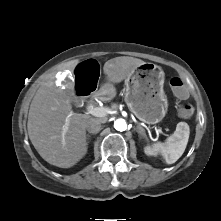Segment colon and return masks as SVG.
<instances>
[{
    "instance_id": "1",
    "label": "colon",
    "mask_w": 221,
    "mask_h": 221,
    "mask_svg": "<svg viewBox=\"0 0 221 221\" xmlns=\"http://www.w3.org/2000/svg\"><path fill=\"white\" fill-rule=\"evenodd\" d=\"M99 70V64L91 59L74 69L73 77L76 82L70 99L75 107H84L93 98V90L99 81ZM170 86L178 98L185 99L188 96L187 88L180 77L171 78ZM179 113L182 117L189 118L194 113V108L190 103H183Z\"/></svg>"
}]
</instances>
